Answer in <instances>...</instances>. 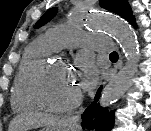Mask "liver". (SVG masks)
<instances>
[{
	"label": "liver",
	"instance_id": "obj_1",
	"mask_svg": "<svg viewBox=\"0 0 151 131\" xmlns=\"http://www.w3.org/2000/svg\"><path fill=\"white\" fill-rule=\"evenodd\" d=\"M58 121L57 117L41 112L21 113L12 119L8 131H28L32 128L51 126Z\"/></svg>",
	"mask_w": 151,
	"mask_h": 131
}]
</instances>
